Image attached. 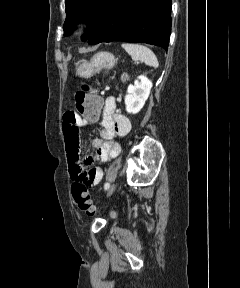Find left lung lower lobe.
I'll use <instances>...</instances> for the list:
<instances>
[{
    "instance_id": "0a47b994",
    "label": "left lung lower lobe",
    "mask_w": 240,
    "mask_h": 288,
    "mask_svg": "<svg viewBox=\"0 0 240 288\" xmlns=\"http://www.w3.org/2000/svg\"><path fill=\"white\" fill-rule=\"evenodd\" d=\"M171 0H109L89 44L126 41L168 48Z\"/></svg>"
}]
</instances>
